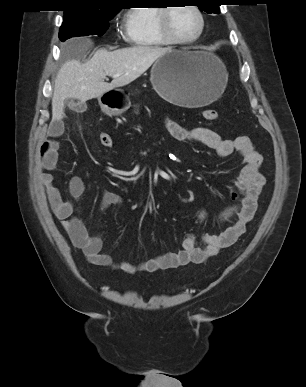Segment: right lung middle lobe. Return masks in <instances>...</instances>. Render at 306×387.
<instances>
[{
	"mask_svg": "<svg viewBox=\"0 0 306 387\" xmlns=\"http://www.w3.org/2000/svg\"><path fill=\"white\" fill-rule=\"evenodd\" d=\"M118 12L119 11H107L90 15H64L59 38L61 41H65L73 36H102L109 27V20H111Z\"/></svg>",
	"mask_w": 306,
	"mask_h": 387,
	"instance_id": "right-lung-middle-lobe-1",
	"label": "right lung middle lobe"
}]
</instances>
